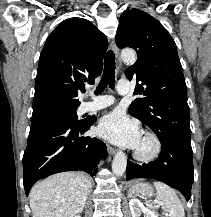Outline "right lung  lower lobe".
<instances>
[{
    "label": "right lung lower lobe",
    "instance_id": "98d812e1",
    "mask_svg": "<svg viewBox=\"0 0 211 217\" xmlns=\"http://www.w3.org/2000/svg\"><path fill=\"white\" fill-rule=\"evenodd\" d=\"M95 117L79 124L32 123L23 155V183L26 195L40 179L64 171L82 170L94 176L99 159L107 155L106 144L97 138L81 136Z\"/></svg>",
    "mask_w": 211,
    "mask_h": 217
}]
</instances>
